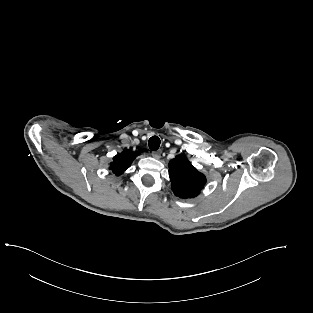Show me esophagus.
Segmentation results:
<instances>
[{
    "instance_id": "34e87169",
    "label": "esophagus",
    "mask_w": 313,
    "mask_h": 313,
    "mask_svg": "<svg viewBox=\"0 0 313 313\" xmlns=\"http://www.w3.org/2000/svg\"><path fill=\"white\" fill-rule=\"evenodd\" d=\"M152 156L156 159H159L161 157V151H153Z\"/></svg>"
}]
</instances>
